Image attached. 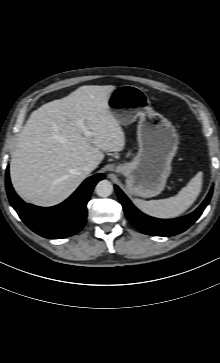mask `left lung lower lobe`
<instances>
[{"label": "left lung lower lobe", "mask_w": 220, "mask_h": 363, "mask_svg": "<svg viewBox=\"0 0 220 363\" xmlns=\"http://www.w3.org/2000/svg\"><path fill=\"white\" fill-rule=\"evenodd\" d=\"M120 203L128 220L142 233L153 236H173L185 231L202 214L212 196L213 188L210 190L204 202L191 214L171 220L149 217L140 212L125 194L115 186Z\"/></svg>", "instance_id": "0a47b994"}]
</instances>
